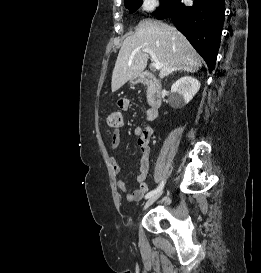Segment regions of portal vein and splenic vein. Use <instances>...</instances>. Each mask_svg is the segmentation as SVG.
Instances as JSON below:
<instances>
[{
	"instance_id": "1",
	"label": "portal vein and splenic vein",
	"mask_w": 261,
	"mask_h": 273,
	"mask_svg": "<svg viewBox=\"0 0 261 273\" xmlns=\"http://www.w3.org/2000/svg\"><path fill=\"white\" fill-rule=\"evenodd\" d=\"M142 52L148 53L151 56V60L153 61V66H154L155 69L159 70V69L162 68V64L158 61L155 53L151 49L143 48Z\"/></svg>"
}]
</instances>
